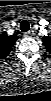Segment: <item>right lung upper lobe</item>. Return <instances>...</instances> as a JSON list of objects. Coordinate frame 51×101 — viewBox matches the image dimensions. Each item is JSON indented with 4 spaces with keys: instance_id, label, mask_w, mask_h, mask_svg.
Here are the masks:
<instances>
[{
    "instance_id": "cb5924a9",
    "label": "right lung upper lobe",
    "mask_w": 51,
    "mask_h": 101,
    "mask_svg": "<svg viewBox=\"0 0 51 101\" xmlns=\"http://www.w3.org/2000/svg\"><path fill=\"white\" fill-rule=\"evenodd\" d=\"M18 38L19 37L17 35H0V59H4L9 55L13 45Z\"/></svg>"
}]
</instances>
